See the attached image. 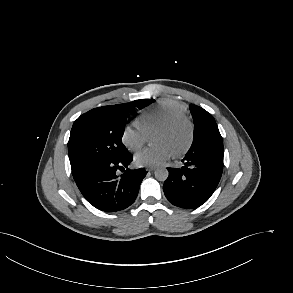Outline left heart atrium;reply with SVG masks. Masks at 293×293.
<instances>
[{"label": "left heart atrium", "instance_id": "left-heart-atrium-1", "mask_svg": "<svg viewBox=\"0 0 293 293\" xmlns=\"http://www.w3.org/2000/svg\"><path fill=\"white\" fill-rule=\"evenodd\" d=\"M174 154L166 143H158L144 148L135 155V163L138 166L153 167L162 164Z\"/></svg>", "mask_w": 293, "mask_h": 293}]
</instances>
